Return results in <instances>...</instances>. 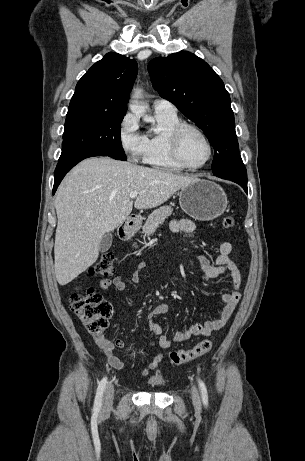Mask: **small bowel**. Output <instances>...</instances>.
<instances>
[{
	"label": "small bowel",
	"instance_id": "1",
	"mask_svg": "<svg viewBox=\"0 0 305 461\" xmlns=\"http://www.w3.org/2000/svg\"><path fill=\"white\" fill-rule=\"evenodd\" d=\"M170 228L173 233L189 234L194 232L195 225L189 219H175L171 222ZM232 253V244L229 242H223L219 247V255L214 264L210 263V261L203 255H195V259L198 261L203 272L202 278L204 281H209L221 275L227 274L230 277V289L222 294L223 307L217 318L208 320L204 323L197 322L190 324L187 329L175 333V342H184L193 336H209L214 331L221 329L233 314L241 298V273L235 262L230 258ZM144 268V263H140L138 265L137 270L132 276L133 282H139L141 272ZM112 286L119 291H124L126 289V283L119 276L113 279H102L100 281V288L102 290H108ZM168 309V305L159 304L151 310L147 317L148 328L154 336L158 337L156 343L163 349L170 348L172 341L163 334L162 328L157 322L156 317L165 314ZM94 340L97 346L104 353L106 361L111 367L119 370L124 368L123 361L115 354L116 348L121 349L124 347L123 340L116 339L112 342L102 333L94 335ZM162 359L163 354H157L153 360L146 364V366L141 370V374L146 376L151 370H154L159 365Z\"/></svg>",
	"mask_w": 305,
	"mask_h": 461
}]
</instances>
